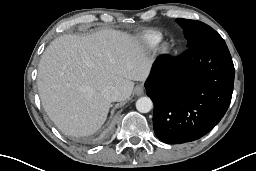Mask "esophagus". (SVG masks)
<instances>
[{"mask_svg":"<svg viewBox=\"0 0 256 171\" xmlns=\"http://www.w3.org/2000/svg\"><path fill=\"white\" fill-rule=\"evenodd\" d=\"M134 93L137 96H141L144 93V86L142 84H138L135 88H134Z\"/></svg>","mask_w":256,"mask_h":171,"instance_id":"1","label":"esophagus"}]
</instances>
